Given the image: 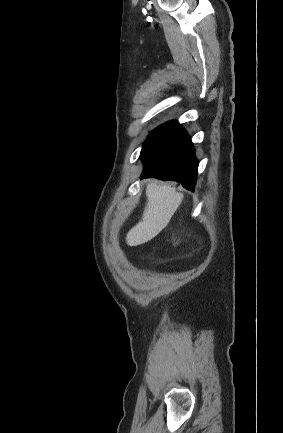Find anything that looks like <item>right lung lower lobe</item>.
<instances>
[{
  "label": "right lung lower lobe",
  "instance_id": "1",
  "mask_svg": "<svg viewBox=\"0 0 283 433\" xmlns=\"http://www.w3.org/2000/svg\"><path fill=\"white\" fill-rule=\"evenodd\" d=\"M140 157L144 163L140 179L174 180L193 190L198 161L190 138L176 121L153 130L144 142Z\"/></svg>",
  "mask_w": 283,
  "mask_h": 433
}]
</instances>
